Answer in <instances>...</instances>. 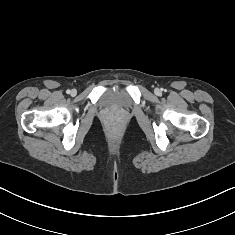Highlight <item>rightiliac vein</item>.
Segmentation results:
<instances>
[{"label":"right iliac vein","instance_id":"63e3f726","mask_svg":"<svg viewBox=\"0 0 235 235\" xmlns=\"http://www.w3.org/2000/svg\"><path fill=\"white\" fill-rule=\"evenodd\" d=\"M77 94V91L75 90V89H73L72 91H71V95L72 96H75Z\"/></svg>","mask_w":235,"mask_h":235}]
</instances>
